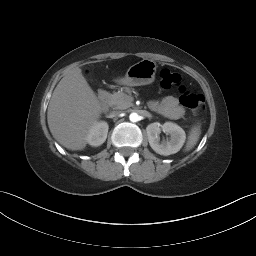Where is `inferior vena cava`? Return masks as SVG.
<instances>
[{
	"label": "inferior vena cava",
	"mask_w": 256,
	"mask_h": 256,
	"mask_svg": "<svg viewBox=\"0 0 256 256\" xmlns=\"http://www.w3.org/2000/svg\"><path fill=\"white\" fill-rule=\"evenodd\" d=\"M121 113V111H112L111 113H110V116L111 117H116V116H118L119 114Z\"/></svg>",
	"instance_id": "1"
}]
</instances>
